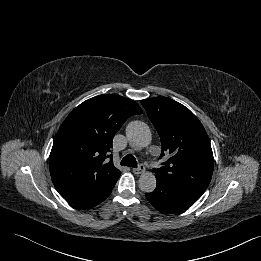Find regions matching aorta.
I'll return each instance as SVG.
<instances>
[{"instance_id": "obj_1", "label": "aorta", "mask_w": 261, "mask_h": 261, "mask_svg": "<svg viewBox=\"0 0 261 261\" xmlns=\"http://www.w3.org/2000/svg\"><path fill=\"white\" fill-rule=\"evenodd\" d=\"M129 142L138 148L150 144L152 136L149 127L141 121H133L126 128ZM139 187L143 192H153L156 188V177L151 172H143L139 178Z\"/></svg>"}]
</instances>
